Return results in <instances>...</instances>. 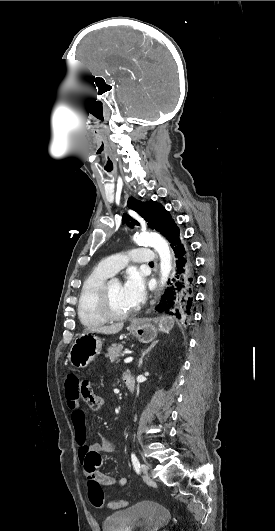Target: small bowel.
I'll return each instance as SVG.
<instances>
[{"mask_svg": "<svg viewBox=\"0 0 275 531\" xmlns=\"http://www.w3.org/2000/svg\"><path fill=\"white\" fill-rule=\"evenodd\" d=\"M67 374L70 376L71 382L77 381L75 369H68ZM65 391L67 404L71 411V425L80 444L78 449V460L83 467L84 475L94 477L103 486H110L115 483H118L121 486L125 485L127 483L126 478H120L117 481L114 477L99 471L102 464V454L114 452V443L99 433L96 434L97 441L92 444L85 443L87 437V423L85 412L79 403V384L66 383Z\"/></svg>", "mask_w": 275, "mask_h": 531, "instance_id": "obj_1", "label": "small bowel"}]
</instances>
